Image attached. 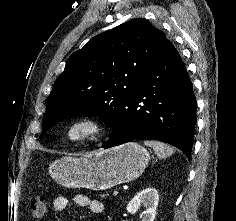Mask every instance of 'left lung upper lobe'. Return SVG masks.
Masks as SVG:
<instances>
[{
  "label": "left lung upper lobe",
  "mask_w": 236,
  "mask_h": 221,
  "mask_svg": "<svg viewBox=\"0 0 236 221\" xmlns=\"http://www.w3.org/2000/svg\"><path fill=\"white\" fill-rule=\"evenodd\" d=\"M165 34L137 18L93 37L67 60L47 100L43 133L60 119L96 116L113 126Z\"/></svg>",
  "instance_id": "obj_1"
}]
</instances>
